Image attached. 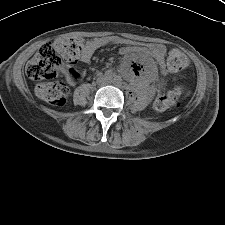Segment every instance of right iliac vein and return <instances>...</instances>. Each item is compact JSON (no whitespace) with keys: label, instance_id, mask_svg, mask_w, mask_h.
Instances as JSON below:
<instances>
[{"label":"right iliac vein","instance_id":"right-iliac-vein-1","mask_svg":"<svg viewBox=\"0 0 225 225\" xmlns=\"http://www.w3.org/2000/svg\"><path fill=\"white\" fill-rule=\"evenodd\" d=\"M104 81H105V79H104L103 77H100V78H99V82H100V83H103Z\"/></svg>","mask_w":225,"mask_h":225}]
</instances>
